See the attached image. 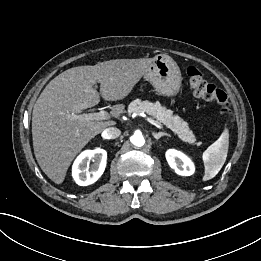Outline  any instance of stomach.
Masks as SVG:
<instances>
[{
    "label": "stomach",
    "instance_id": "1",
    "mask_svg": "<svg viewBox=\"0 0 261 261\" xmlns=\"http://www.w3.org/2000/svg\"><path fill=\"white\" fill-rule=\"evenodd\" d=\"M145 79L163 96H176L181 87V71L177 63L166 54H158L145 73Z\"/></svg>",
    "mask_w": 261,
    "mask_h": 261
}]
</instances>
